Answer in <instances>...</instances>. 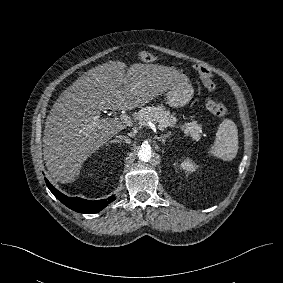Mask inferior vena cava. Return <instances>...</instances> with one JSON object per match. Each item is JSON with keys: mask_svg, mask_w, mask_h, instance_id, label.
Segmentation results:
<instances>
[{"mask_svg": "<svg viewBox=\"0 0 283 283\" xmlns=\"http://www.w3.org/2000/svg\"><path fill=\"white\" fill-rule=\"evenodd\" d=\"M117 138L121 139L122 141H124L125 143L127 144H130L131 143V139H129L128 137L126 136H122V135H116Z\"/></svg>", "mask_w": 283, "mask_h": 283, "instance_id": "obj_1", "label": "inferior vena cava"}]
</instances>
